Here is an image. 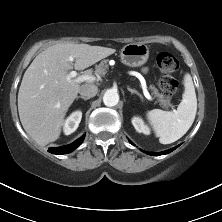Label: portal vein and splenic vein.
<instances>
[{
  "instance_id": "portal-vein-and-splenic-vein-1",
  "label": "portal vein and splenic vein",
  "mask_w": 222,
  "mask_h": 222,
  "mask_svg": "<svg viewBox=\"0 0 222 222\" xmlns=\"http://www.w3.org/2000/svg\"><path fill=\"white\" fill-rule=\"evenodd\" d=\"M74 59L72 57L69 58V61H73ZM77 76V72L76 71H71L68 76L67 79H72L74 77ZM95 78L93 76L90 75H82L77 77L75 80L76 82H84V81H93ZM140 80H141V84H142V88H143V94L144 96L148 99V100H152V97L150 96L149 92L146 89V84H145V80L143 79L142 76H140Z\"/></svg>"
}]
</instances>
